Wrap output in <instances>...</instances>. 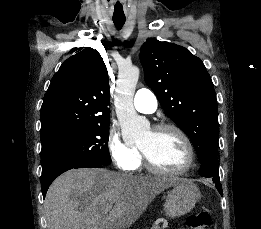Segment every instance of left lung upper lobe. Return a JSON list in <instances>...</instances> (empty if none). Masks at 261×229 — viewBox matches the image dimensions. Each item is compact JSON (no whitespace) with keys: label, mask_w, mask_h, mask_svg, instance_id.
<instances>
[{"label":"left lung upper lobe","mask_w":261,"mask_h":229,"mask_svg":"<svg viewBox=\"0 0 261 229\" xmlns=\"http://www.w3.org/2000/svg\"><path fill=\"white\" fill-rule=\"evenodd\" d=\"M145 82L166 114L189 136L199 162L217 155V100L210 75L186 48L156 39L140 51Z\"/></svg>","instance_id":"left-lung-upper-lobe-1"}]
</instances>
